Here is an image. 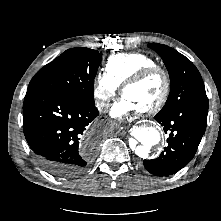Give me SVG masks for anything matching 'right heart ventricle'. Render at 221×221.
Returning a JSON list of instances; mask_svg holds the SVG:
<instances>
[{"label": "right heart ventricle", "instance_id": "e07e8e85", "mask_svg": "<svg viewBox=\"0 0 221 221\" xmlns=\"http://www.w3.org/2000/svg\"><path fill=\"white\" fill-rule=\"evenodd\" d=\"M156 65L151 56L141 52L112 55L106 63V72L120 86L143 68Z\"/></svg>", "mask_w": 221, "mask_h": 221}]
</instances>
